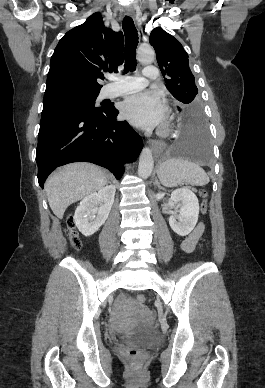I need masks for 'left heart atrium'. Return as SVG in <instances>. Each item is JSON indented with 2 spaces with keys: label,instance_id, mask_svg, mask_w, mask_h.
<instances>
[{
  "label": "left heart atrium",
  "instance_id": "left-heart-atrium-1",
  "mask_svg": "<svg viewBox=\"0 0 265 388\" xmlns=\"http://www.w3.org/2000/svg\"><path fill=\"white\" fill-rule=\"evenodd\" d=\"M122 113L129 121L142 126H155L164 121L168 109L161 98L150 92L130 95L122 105Z\"/></svg>",
  "mask_w": 265,
  "mask_h": 388
}]
</instances>
